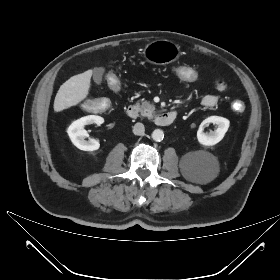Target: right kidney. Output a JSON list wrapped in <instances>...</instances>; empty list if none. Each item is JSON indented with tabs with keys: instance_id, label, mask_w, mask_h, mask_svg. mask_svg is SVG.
Here are the masks:
<instances>
[{
	"instance_id": "right-kidney-1",
	"label": "right kidney",
	"mask_w": 280,
	"mask_h": 280,
	"mask_svg": "<svg viewBox=\"0 0 280 280\" xmlns=\"http://www.w3.org/2000/svg\"><path fill=\"white\" fill-rule=\"evenodd\" d=\"M104 119L96 115H88L74 121L67 130V133L72 141V143L80 150L84 151H95L100 147L99 141L91 139L89 141L85 140L88 137V133L84 130V126L96 123L101 125Z\"/></svg>"
}]
</instances>
